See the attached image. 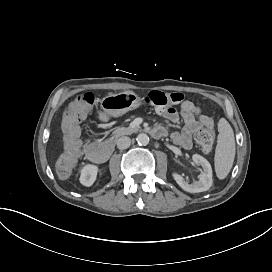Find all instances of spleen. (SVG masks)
I'll use <instances>...</instances> for the list:
<instances>
[{
  "label": "spleen",
  "mask_w": 272,
  "mask_h": 272,
  "mask_svg": "<svg viewBox=\"0 0 272 272\" xmlns=\"http://www.w3.org/2000/svg\"><path fill=\"white\" fill-rule=\"evenodd\" d=\"M218 145L215 151V169L219 178H225L229 173L234 156L235 141L233 130L226 119H220L218 123Z\"/></svg>",
  "instance_id": "spleen-1"
}]
</instances>
